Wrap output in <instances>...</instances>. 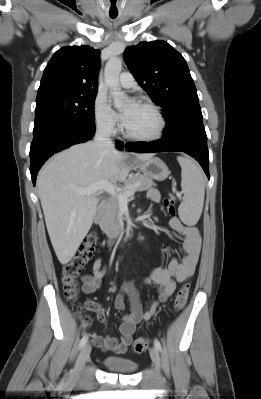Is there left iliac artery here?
<instances>
[{"mask_svg": "<svg viewBox=\"0 0 261 399\" xmlns=\"http://www.w3.org/2000/svg\"><path fill=\"white\" fill-rule=\"evenodd\" d=\"M154 346H155V348L157 349V350H161V344H160V342H159V340L158 339H155L154 340Z\"/></svg>", "mask_w": 261, "mask_h": 399, "instance_id": "1", "label": "left iliac artery"}]
</instances>
